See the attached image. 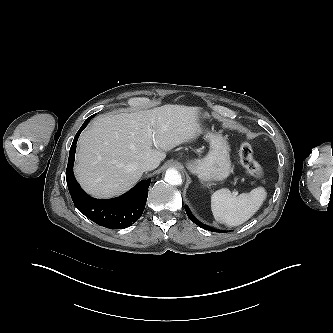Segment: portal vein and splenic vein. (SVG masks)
Instances as JSON below:
<instances>
[{
  "mask_svg": "<svg viewBox=\"0 0 333 333\" xmlns=\"http://www.w3.org/2000/svg\"><path fill=\"white\" fill-rule=\"evenodd\" d=\"M149 137H153L152 130L149 132Z\"/></svg>",
  "mask_w": 333,
  "mask_h": 333,
  "instance_id": "18ae733b",
  "label": "portal vein and splenic vein"
}]
</instances>
